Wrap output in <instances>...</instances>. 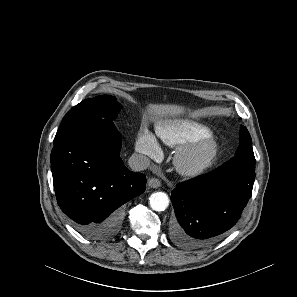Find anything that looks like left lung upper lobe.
<instances>
[{
    "mask_svg": "<svg viewBox=\"0 0 297 297\" xmlns=\"http://www.w3.org/2000/svg\"><path fill=\"white\" fill-rule=\"evenodd\" d=\"M240 145L235 152L236 156H254L252 149V140L250 134L246 127H240V135H239Z\"/></svg>",
    "mask_w": 297,
    "mask_h": 297,
    "instance_id": "obj_1",
    "label": "left lung upper lobe"
}]
</instances>
